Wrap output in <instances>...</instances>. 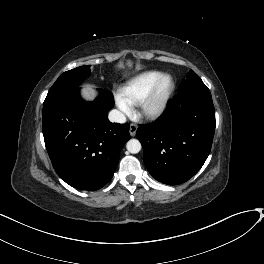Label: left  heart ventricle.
<instances>
[{
	"mask_svg": "<svg viewBox=\"0 0 264 264\" xmlns=\"http://www.w3.org/2000/svg\"><path fill=\"white\" fill-rule=\"evenodd\" d=\"M164 89H165V85L162 86V88H161V92H162Z\"/></svg>",
	"mask_w": 264,
	"mask_h": 264,
	"instance_id": "b2bd125f",
	"label": "left heart ventricle"
}]
</instances>
